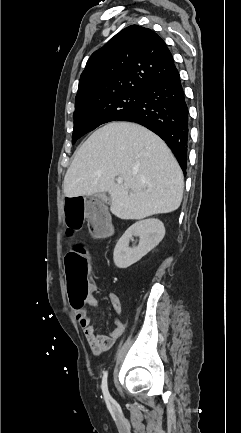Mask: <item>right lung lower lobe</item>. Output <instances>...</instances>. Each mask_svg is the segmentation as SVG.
Segmentation results:
<instances>
[{
	"label": "right lung lower lobe",
	"instance_id": "1",
	"mask_svg": "<svg viewBox=\"0 0 241 433\" xmlns=\"http://www.w3.org/2000/svg\"><path fill=\"white\" fill-rule=\"evenodd\" d=\"M140 104L120 121L141 124L160 136L174 153L182 170L187 167L189 111L176 69L148 84Z\"/></svg>",
	"mask_w": 241,
	"mask_h": 433
}]
</instances>
